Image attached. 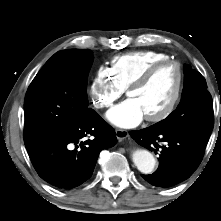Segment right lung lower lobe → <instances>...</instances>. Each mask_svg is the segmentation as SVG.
Listing matches in <instances>:
<instances>
[{
  "mask_svg": "<svg viewBox=\"0 0 221 221\" xmlns=\"http://www.w3.org/2000/svg\"><path fill=\"white\" fill-rule=\"evenodd\" d=\"M116 142L114 129L92 109L68 131L24 137L38 175L62 189L77 187L89 179L100 151Z\"/></svg>",
  "mask_w": 221,
  "mask_h": 221,
  "instance_id": "98d812e1",
  "label": "right lung lower lobe"
}]
</instances>
